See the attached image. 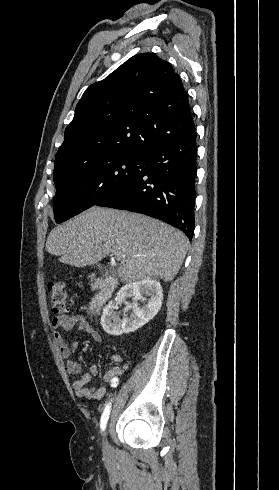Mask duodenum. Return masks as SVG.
<instances>
[{
    "label": "duodenum",
    "instance_id": "1",
    "mask_svg": "<svg viewBox=\"0 0 279 490\" xmlns=\"http://www.w3.org/2000/svg\"><path fill=\"white\" fill-rule=\"evenodd\" d=\"M117 287V280L114 277L108 276L101 280L97 293L92 298L89 304L91 313H98L107 301L113 295Z\"/></svg>",
    "mask_w": 279,
    "mask_h": 490
}]
</instances>
